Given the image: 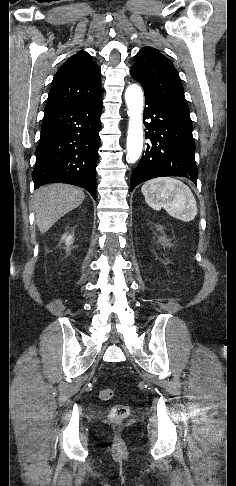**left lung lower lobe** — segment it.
<instances>
[{"label": "left lung lower lobe", "instance_id": "0a47b994", "mask_svg": "<svg viewBox=\"0 0 236 486\" xmlns=\"http://www.w3.org/2000/svg\"><path fill=\"white\" fill-rule=\"evenodd\" d=\"M145 105L144 123L150 143L132 172L130 190L163 176L186 177L196 184L198 170L190 115L180 113L146 91ZM146 119L150 121L145 122Z\"/></svg>", "mask_w": 236, "mask_h": 486}]
</instances>
